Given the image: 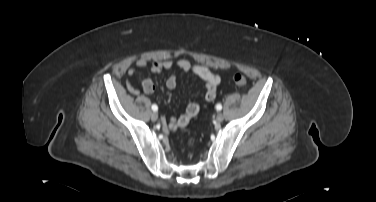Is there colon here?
<instances>
[{"label":"colon","instance_id":"1","mask_svg":"<svg viewBox=\"0 0 376 202\" xmlns=\"http://www.w3.org/2000/svg\"><path fill=\"white\" fill-rule=\"evenodd\" d=\"M234 83L237 87L243 88L247 85V79L243 75L237 74V75L234 76ZM191 112L193 114H195L197 112V110L195 108H192ZM192 144H193V142L190 141L189 145L191 146Z\"/></svg>","mask_w":376,"mask_h":202}]
</instances>
